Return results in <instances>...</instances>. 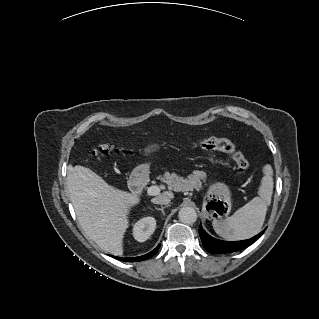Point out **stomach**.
<instances>
[{
    "instance_id": "1",
    "label": "stomach",
    "mask_w": 319,
    "mask_h": 319,
    "mask_svg": "<svg viewBox=\"0 0 319 319\" xmlns=\"http://www.w3.org/2000/svg\"><path fill=\"white\" fill-rule=\"evenodd\" d=\"M138 176V172H136ZM143 176L147 175V172H143ZM225 189L223 187H213L210 191V196L208 201L206 202V209L211 212V214H215L216 216H222L229 212V206L224 198Z\"/></svg>"
}]
</instances>
